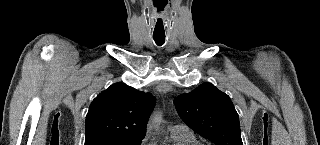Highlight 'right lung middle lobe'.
<instances>
[{
	"instance_id": "dd1d6c3e",
	"label": "right lung middle lobe",
	"mask_w": 320,
	"mask_h": 145,
	"mask_svg": "<svg viewBox=\"0 0 320 145\" xmlns=\"http://www.w3.org/2000/svg\"><path fill=\"white\" fill-rule=\"evenodd\" d=\"M142 139L136 140H119V139H103L85 145H140Z\"/></svg>"
}]
</instances>
